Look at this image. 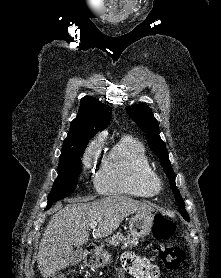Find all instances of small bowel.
<instances>
[{"label":"small bowel","instance_id":"obj_1","mask_svg":"<svg viewBox=\"0 0 221 278\" xmlns=\"http://www.w3.org/2000/svg\"><path fill=\"white\" fill-rule=\"evenodd\" d=\"M154 278V266L145 256H138L133 252H125L122 258V268L119 278Z\"/></svg>","mask_w":221,"mask_h":278}]
</instances>
